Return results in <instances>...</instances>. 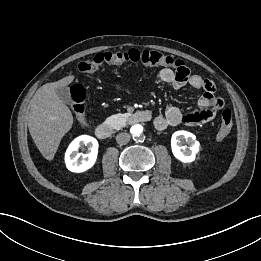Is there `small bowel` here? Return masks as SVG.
Wrapping results in <instances>:
<instances>
[{
	"label": "small bowel",
	"instance_id": "1",
	"mask_svg": "<svg viewBox=\"0 0 261 261\" xmlns=\"http://www.w3.org/2000/svg\"><path fill=\"white\" fill-rule=\"evenodd\" d=\"M158 79L165 85L174 89H180L186 85L196 90H202L203 95L198 101L200 111L183 114L177 107L169 106L162 115L154 119V127L157 130H164L170 126L185 124L196 126L213 120L217 112L223 107L222 98L216 95V87L213 81L205 79L198 74H190L184 65L173 71L170 68H163L158 72Z\"/></svg>",
	"mask_w": 261,
	"mask_h": 261
}]
</instances>
